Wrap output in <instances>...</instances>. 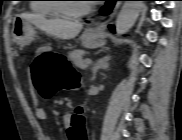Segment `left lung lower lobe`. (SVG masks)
<instances>
[{"mask_svg":"<svg viewBox=\"0 0 182 140\" xmlns=\"http://www.w3.org/2000/svg\"><path fill=\"white\" fill-rule=\"evenodd\" d=\"M114 5H115V0H107L106 4L101 9L102 13L103 14H109L111 12V10L113 9ZM109 28L112 32H114V26L113 25H109Z\"/></svg>","mask_w":182,"mask_h":140,"instance_id":"0a47b994","label":"left lung lower lobe"}]
</instances>
